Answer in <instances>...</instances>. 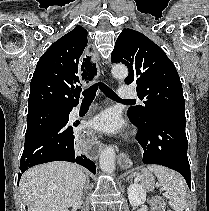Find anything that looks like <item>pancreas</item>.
Here are the masks:
<instances>
[{"instance_id":"obj_1","label":"pancreas","mask_w":209,"mask_h":211,"mask_svg":"<svg viewBox=\"0 0 209 211\" xmlns=\"http://www.w3.org/2000/svg\"><path fill=\"white\" fill-rule=\"evenodd\" d=\"M142 186L148 191H152L154 189V183L146 179L142 180Z\"/></svg>"}]
</instances>
